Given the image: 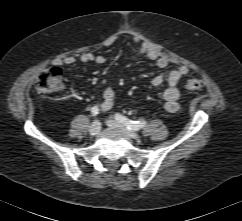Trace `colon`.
Wrapping results in <instances>:
<instances>
[{
  "label": "colon",
  "instance_id": "5ec220e1",
  "mask_svg": "<svg viewBox=\"0 0 242 221\" xmlns=\"http://www.w3.org/2000/svg\"><path fill=\"white\" fill-rule=\"evenodd\" d=\"M63 80V71L60 67L53 66L42 70L36 80V88L39 93H52L60 89ZM202 87L199 78H190L186 81V88L198 90Z\"/></svg>",
  "mask_w": 242,
  "mask_h": 221
}]
</instances>
